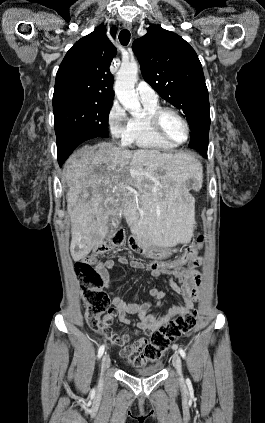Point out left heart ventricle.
Wrapping results in <instances>:
<instances>
[{
	"label": "left heart ventricle",
	"mask_w": 265,
	"mask_h": 423,
	"mask_svg": "<svg viewBox=\"0 0 265 423\" xmlns=\"http://www.w3.org/2000/svg\"><path fill=\"white\" fill-rule=\"evenodd\" d=\"M165 133L174 141L181 142L186 137V129L181 120L172 113H166L162 119Z\"/></svg>",
	"instance_id": "obj_1"
}]
</instances>
